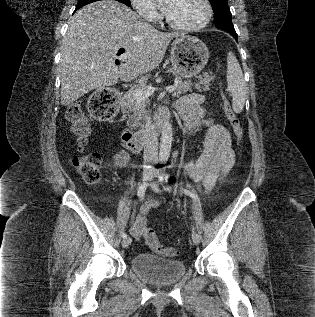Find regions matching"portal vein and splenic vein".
Instances as JSON below:
<instances>
[{"mask_svg": "<svg viewBox=\"0 0 315 317\" xmlns=\"http://www.w3.org/2000/svg\"><path fill=\"white\" fill-rule=\"evenodd\" d=\"M127 59V56L126 55H123L122 58H121V61L125 62ZM176 89V86L173 85V86H170L168 88H166V90L169 92V93H172L174 92ZM157 89L154 88V87H148L146 90H140V89H137L135 90V97L136 99L140 102L146 98H148L151 94H153Z\"/></svg>", "mask_w": 315, "mask_h": 317, "instance_id": "obj_1", "label": "portal vein and splenic vein"}]
</instances>
